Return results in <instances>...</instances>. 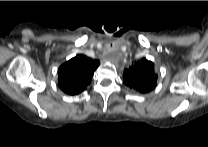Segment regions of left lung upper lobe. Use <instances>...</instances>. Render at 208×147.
<instances>
[{
  "mask_svg": "<svg viewBox=\"0 0 208 147\" xmlns=\"http://www.w3.org/2000/svg\"><path fill=\"white\" fill-rule=\"evenodd\" d=\"M123 78L127 86L146 93L155 88L157 75L154 73V64L142 58L124 71Z\"/></svg>",
  "mask_w": 208,
  "mask_h": 147,
  "instance_id": "obj_1",
  "label": "left lung upper lobe"
}]
</instances>
